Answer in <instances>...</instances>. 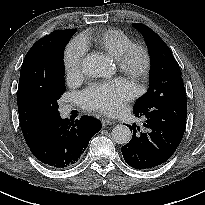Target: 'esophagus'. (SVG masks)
Here are the masks:
<instances>
[{"mask_svg": "<svg viewBox=\"0 0 205 205\" xmlns=\"http://www.w3.org/2000/svg\"><path fill=\"white\" fill-rule=\"evenodd\" d=\"M100 121L103 127H106L108 125H112L115 123L113 120L108 119V118H101Z\"/></svg>", "mask_w": 205, "mask_h": 205, "instance_id": "1", "label": "esophagus"}]
</instances>
